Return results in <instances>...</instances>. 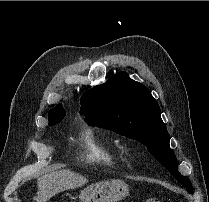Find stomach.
I'll use <instances>...</instances> for the list:
<instances>
[{
  "label": "stomach",
  "mask_w": 209,
  "mask_h": 202,
  "mask_svg": "<svg viewBox=\"0 0 209 202\" xmlns=\"http://www.w3.org/2000/svg\"><path fill=\"white\" fill-rule=\"evenodd\" d=\"M129 195L128 185L121 180H106L91 184L80 194L81 202H118Z\"/></svg>",
  "instance_id": "1"
}]
</instances>
